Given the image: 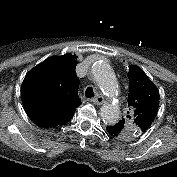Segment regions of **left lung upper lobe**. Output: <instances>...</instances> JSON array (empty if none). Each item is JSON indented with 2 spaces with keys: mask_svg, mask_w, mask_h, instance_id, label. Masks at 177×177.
Instances as JSON below:
<instances>
[{
  "mask_svg": "<svg viewBox=\"0 0 177 177\" xmlns=\"http://www.w3.org/2000/svg\"><path fill=\"white\" fill-rule=\"evenodd\" d=\"M128 78L129 111L115 124L121 131L118 139L141 137L155 120L159 107V91L141 68L129 65Z\"/></svg>",
  "mask_w": 177,
  "mask_h": 177,
  "instance_id": "5c2ea615",
  "label": "left lung upper lobe"
}]
</instances>
